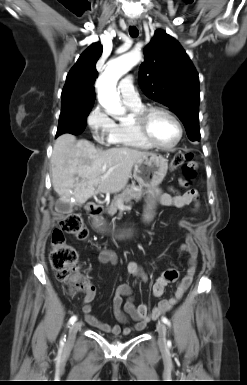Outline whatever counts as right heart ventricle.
Returning <instances> with one entry per match:
<instances>
[{
  "instance_id": "e07e8e85",
  "label": "right heart ventricle",
  "mask_w": 247,
  "mask_h": 385,
  "mask_svg": "<svg viewBox=\"0 0 247 385\" xmlns=\"http://www.w3.org/2000/svg\"><path fill=\"white\" fill-rule=\"evenodd\" d=\"M134 117L139 114L143 109V105H129ZM110 142L117 146L136 148V149H149L151 146L147 144L136 130L133 122H117L114 125V129L110 136Z\"/></svg>"
}]
</instances>
